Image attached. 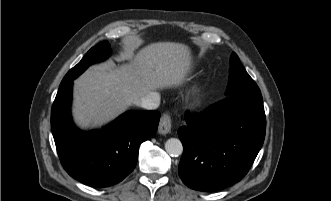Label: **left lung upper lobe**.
Instances as JSON below:
<instances>
[{
  "label": "left lung upper lobe",
  "instance_id": "obj_1",
  "mask_svg": "<svg viewBox=\"0 0 331 201\" xmlns=\"http://www.w3.org/2000/svg\"><path fill=\"white\" fill-rule=\"evenodd\" d=\"M250 92H260V89L246 72L238 56L233 52L231 56L229 83L225 94L226 96H231Z\"/></svg>",
  "mask_w": 331,
  "mask_h": 201
}]
</instances>
